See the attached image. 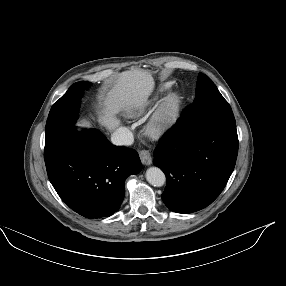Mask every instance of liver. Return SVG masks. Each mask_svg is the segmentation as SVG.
<instances>
[{
	"label": "liver",
	"mask_w": 286,
	"mask_h": 286,
	"mask_svg": "<svg viewBox=\"0 0 286 286\" xmlns=\"http://www.w3.org/2000/svg\"><path fill=\"white\" fill-rule=\"evenodd\" d=\"M154 80L145 70H130L118 74L114 88L108 92L104 101V113L100 123L109 130L115 129L119 121L114 117L121 109L143 106L154 89ZM83 126L89 127L87 122Z\"/></svg>",
	"instance_id": "1"
}]
</instances>
